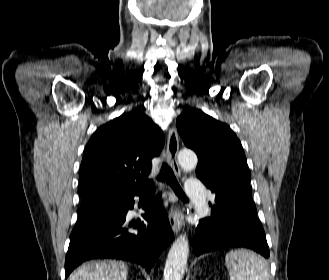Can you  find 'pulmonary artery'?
<instances>
[{"mask_svg":"<svg viewBox=\"0 0 329 280\" xmlns=\"http://www.w3.org/2000/svg\"><path fill=\"white\" fill-rule=\"evenodd\" d=\"M185 190L191 200L195 202H204L206 188L200 180L196 178L190 179L186 184Z\"/></svg>","mask_w":329,"mask_h":280,"instance_id":"obj_1","label":"pulmonary artery"}]
</instances>
